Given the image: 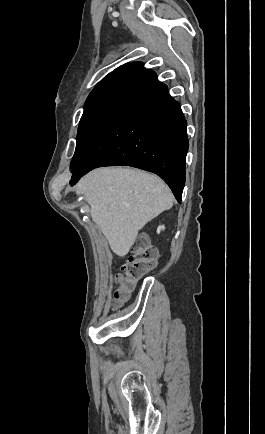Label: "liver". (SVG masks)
Instances as JSON below:
<instances>
[{
	"instance_id": "obj_1",
	"label": "liver",
	"mask_w": 265,
	"mask_h": 434,
	"mask_svg": "<svg viewBox=\"0 0 265 434\" xmlns=\"http://www.w3.org/2000/svg\"><path fill=\"white\" fill-rule=\"evenodd\" d=\"M93 222L98 224L112 252L126 256L139 230L170 210L173 196L163 180L130 168H98L77 184Z\"/></svg>"
}]
</instances>
